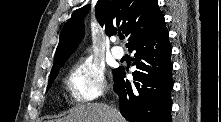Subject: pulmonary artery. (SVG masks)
<instances>
[{
  "label": "pulmonary artery",
  "instance_id": "obj_1",
  "mask_svg": "<svg viewBox=\"0 0 221 122\" xmlns=\"http://www.w3.org/2000/svg\"><path fill=\"white\" fill-rule=\"evenodd\" d=\"M116 39H114L115 41ZM112 55L116 58V59H121L124 56V50L119 47V46H114L111 49Z\"/></svg>",
  "mask_w": 221,
  "mask_h": 122
}]
</instances>
